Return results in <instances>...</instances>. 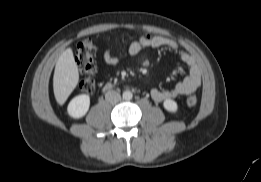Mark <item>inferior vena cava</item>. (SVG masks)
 <instances>
[{
    "label": "inferior vena cava",
    "instance_id": "inferior-vena-cava-1",
    "mask_svg": "<svg viewBox=\"0 0 261 182\" xmlns=\"http://www.w3.org/2000/svg\"><path fill=\"white\" fill-rule=\"evenodd\" d=\"M105 99L106 101L112 103V104H116L117 102H119L121 100V95L116 92V91H108L105 94Z\"/></svg>",
    "mask_w": 261,
    "mask_h": 182
}]
</instances>
